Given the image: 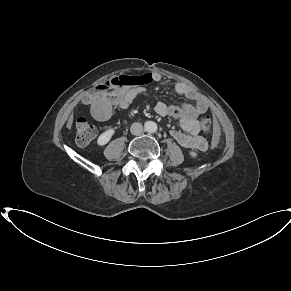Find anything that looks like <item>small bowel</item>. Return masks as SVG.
<instances>
[{
	"mask_svg": "<svg viewBox=\"0 0 291 291\" xmlns=\"http://www.w3.org/2000/svg\"><path fill=\"white\" fill-rule=\"evenodd\" d=\"M140 80L141 82L161 81L162 76L157 72L147 73L140 77ZM174 90L179 95L192 101L193 104L167 105L158 101L155 104V112L160 116H171L179 120L183 131L172 130L170 134L181 146L188 149L206 151L208 143L199 134L200 128L197 116L208 110L207 102L184 82H176ZM145 91L146 89L142 86L118 88L109 94L105 93L100 98L93 92L85 95L83 102L90 106L93 118L102 121L110 117L112 108L127 109Z\"/></svg>",
	"mask_w": 291,
	"mask_h": 291,
	"instance_id": "obj_1",
	"label": "small bowel"
}]
</instances>
